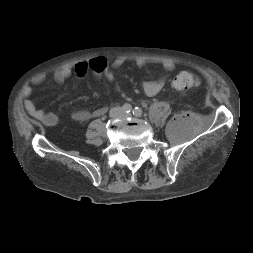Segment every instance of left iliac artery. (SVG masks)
Here are the masks:
<instances>
[{
	"label": "left iliac artery",
	"instance_id": "44dca946",
	"mask_svg": "<svg viewBox=\"0 0 253 253\" xmlns=\"http://www.w3.org/2000/svg\"><path fill=\"white\" fill-rule=\"evenodd\" d=\"M142 112H143L142 109L139 107H135L133 109V115L136 117H140L142 115Z\"/></svg>",
	"mask_w": 253,
	"mask_h": 253
}]
</instances>
